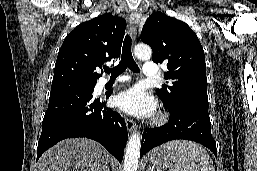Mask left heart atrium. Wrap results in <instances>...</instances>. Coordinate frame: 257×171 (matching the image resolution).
Masks as SVG:
<instances>
[{
  "mask_svg": "<svg viewBox=\"0 0 257 171\" xmlns=\"http://www.w3.org/2000/svg\"><path fill=\"white\" fill-rule=\"evenodd\" d=\"M115 105L122 111L138 117H150L155 113L156 102L142 87H131L115 98Z\"/></svg>",
  "mask_w": 257,
  "mask_h": 171,
  "instance_id": "left-heart-atrium-1",
  "label": "left heart atrium"
}]
</instances>
